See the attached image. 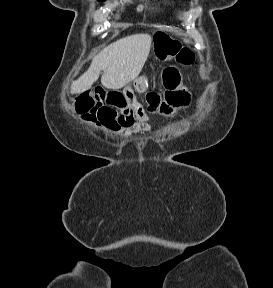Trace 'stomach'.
Masks as SVG:
<instances>
[{"mask_svg":"<svg viewBox=\"0 0 273 288\" xmlns=\"http://www.w3.org/2000/svg\"><path fill=\"white\" fill-rule=\"evenodd\" d=\"M174 41L175 40L166 33L156 35L154 38L153 46L155 57L161 61H167L171 59L174 56ZM142 80H145V78H139L136 80V83H139Z\"/></svg>","mask_w":273,"mask_h":288,"instance_id":"0dacf381","label":"stomach"}]
</instances>
